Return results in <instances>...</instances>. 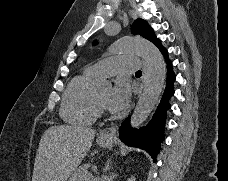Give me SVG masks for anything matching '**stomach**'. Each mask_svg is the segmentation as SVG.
Instances as JSON below:
<instances>
[{
    "instance_id": "obj_1",
    "label": "stomach",
    "mask_w": 228,
    "mask_h": 181,
    "mask_svg": "<svg viewBox=\"0 0 228 181\" xmlns=\"http://www.w3.org/2000/svg\"><path fill=\"white\" fill-rule=\"evenodd\" d=\"M115 141V137H111V135H107V137H101V133L98 135V143L101 147H109V149H111Z\"/></svg>"
}]
</instances>
